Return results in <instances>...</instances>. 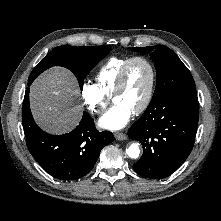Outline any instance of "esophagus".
<instances>
[{
  "label": "esophagus",
  "mask_w": 221,
  "mask_h": 221,
  "mask_svg": "<svg viewBox=\"0 0 221 221\" xmlns=\"http://www.w3.org/2000/svg\"><path fill=\"white\" fill-rule=\"evenodd\" d=\"M114 136L117 140L122 141V140H126L127 136L126 134H124L123 132H115Z\"/></svg>",
  "instance_id": "1"
}]
</instances>
